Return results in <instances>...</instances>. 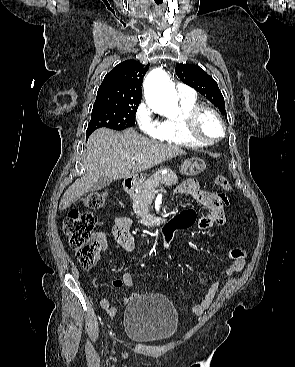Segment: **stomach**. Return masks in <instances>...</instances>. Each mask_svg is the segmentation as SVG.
Masks as SVG:
<instances>
[{
	"label": "stomach",
	"instance_id": "stomach-1",
	"mask_svg": "<svg viewBox=\"0 0 295 367\" xmlns=\"http://www.w3.org/2000/svg\"><path fill=\"white\" fill-rule=\"evenodd\" d=\"M205 162L199 158H191L184 161L181 165L180 173L188 176H195L204 171Z\"/></svg>",
	"mask_w": 295,
	"mask_h": 367
}]
</instances>
